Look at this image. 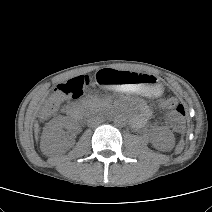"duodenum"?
Returning <instances> with one entry per match:
<instances>
[{"label": "duodenum", "mask_w": 212, "mask_h": 212, "mask_svg": "<svg viewBox=\"0 0 212 212\" xmlns=\"http://www.w3.org/2000/svg\"><path fill=\"white\" fill-rule=\"evenodd\" d=\"M69 116L73 119L79 120L82 117V112L79 108L74 107L69 111ZM133 122L137 125L141 124L143 122L142 116H137L133 119Z\"/></svg>", "instance_id": "1"}]
</instances>
